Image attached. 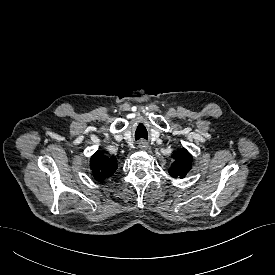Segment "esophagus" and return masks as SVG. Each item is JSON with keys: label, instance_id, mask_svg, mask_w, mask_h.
Masks as SVG:
<instances>
[{"label": "esophagus", "instance_id": "34e87169", "mask_svg": "<svg viewBox=\"0 0 275 275\" xmlns=\"http://www.w3.org/2000/svg\"><path fill=\"white\" fill-rule=\"evenodd\" d=\"M138 146L142 150H146L149 147L148 142L146 140H140Z\"/></svg>", "mask_w": 275, "mask_h": 275}]
</instances>
